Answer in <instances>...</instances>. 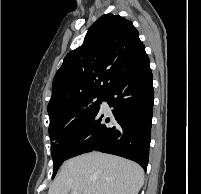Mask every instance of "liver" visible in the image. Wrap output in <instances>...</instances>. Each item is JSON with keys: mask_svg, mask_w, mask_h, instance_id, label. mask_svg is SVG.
<instances>
[{"mask_svg": "<svg viewBox=\"0 0 201 194\" xmlns=\"http://www.w3.org/2000/svg\"><path fill=\"white\" fill-rule=\"evenodd\" d=\"M143 183L144 171L137 163L91 152L67 160L48 194H138Z\"/></svg>", "mask_w": 201, "mask_h": 194, "instance_id": "obj_1", "label": "liver"}]
</instances>
